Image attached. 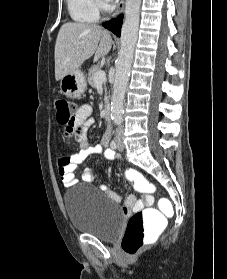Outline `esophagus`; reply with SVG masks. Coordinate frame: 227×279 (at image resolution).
Masks as SVG:
<instances>
[{"mask_svg": "<svg viewBox=\"0 0 227 279\" xmlns=\"http://www.w3.org/2000/svg\"><path fill=\"white\" fill-rule=\"evenodd\" d=\"M124 5H125V0H120V2L117 5L116 11H115L113 17H117L123 12Z\"/></svg>", "mask_w": 227, "mask_h": 279, "instance_id": "esophagus-1", "label": "esophagus"}]
</instances>
